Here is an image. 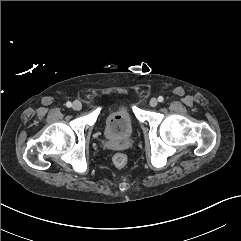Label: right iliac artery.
I'll return each mask as SVG.
<instances>
[{"label":"right iliac artery","mask_w":241,"mask_h":241,"mask_svg":"<svg viewBox=\"0 0 241 241\" xmlns=\"http://www.w3.org/2000/svg\"><path fill=\"white\" fill-rule=\"evenodd\" d=\"M66 106H67L68 108H70V107L72 106V103H71L70 101H68V102L66 103Z\"/></svg>","instance_id":"obj_1"}]
</instances>
